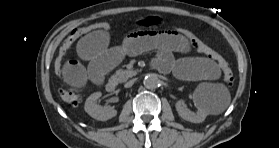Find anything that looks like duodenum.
Here are the masks:
<instances>
[{
	"mask_svg": "<svg viewBox=\"0 0 279 148\" xmlns=\"http://www.w3.org/2000/svg\"><path fill=\"white\" fill-rule=\"evenodd\" d=\"M106 87L109 92H114L117 89V80L115 78L110 79Z\"/></svg>",
	"mask_w": 279,
	"mask_h": 148,
	"instance_id": "1",
	"label": "duodenum"
}]
</instances>
